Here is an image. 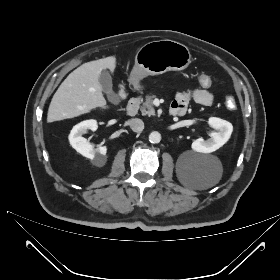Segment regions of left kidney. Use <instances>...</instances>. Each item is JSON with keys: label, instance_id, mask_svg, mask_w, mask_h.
I'll return each mask as SVG.
<instances>
[{"label": "left kidney", "instance_id": "obj_1", "mask_svg": "<svg viewBox=\"0 0 280 280\" xmlns=\"http://www.w3.org/2000/svg\"><path fill=\"white\" fill-rule=\"evenodd\" d=\"M208 124L218 132L210 133V138L196 139L192 142V149L200 153H211L222 147L230 138L233 126L230 122L217 117H210Z\"/></svg>", "mask_w": 280, "mask_h": 280}]
</instances>
